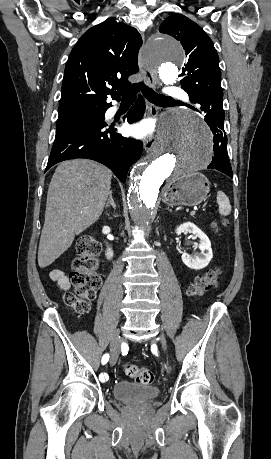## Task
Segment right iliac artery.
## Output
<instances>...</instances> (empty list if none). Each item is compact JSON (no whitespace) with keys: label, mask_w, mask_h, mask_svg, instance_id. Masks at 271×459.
<instances>
[{"label":"right iliac artery","mask_w":271,"mask_h":459,"mask_svg":"<svg viewBox=\"0 0 271 459\" xmlns=\"http://www.w3.org/2000/svg\"><path fill=\"white\" fill-rule=\"evenodd\" d=\"M108 360H109V354L103 355V357H102V364H106V363L108 362ZM103 378H104V379H103L104 382H106V383L109 382V381L111 380V377L108 376V373H103Z\"/></svg>","instance_id":"1"}]
</instances>
